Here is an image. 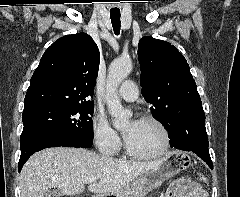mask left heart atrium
Wrapping results in <instances>:
<instances>
[{
	"label": "left heart atrium",
	"instance_id": "1",
	"mask_svg": "<svg viewBox=\"0 0 240 197\" xmlns=\"http://www.w3.org/2000/svg\"><path fill=\"white\" fill-rule=\"evenodd\" d=\"M138 123H139V120H134V121H132V122L130 123L128 129L125 130V132H124V137H125V140H126V141L131 138V136L133 135L135 129H136L137 126H138Z\"/></svg>",
	"mask_w": 240,
	"mask_h": 197
}]
</instances>
